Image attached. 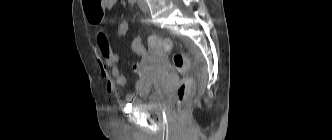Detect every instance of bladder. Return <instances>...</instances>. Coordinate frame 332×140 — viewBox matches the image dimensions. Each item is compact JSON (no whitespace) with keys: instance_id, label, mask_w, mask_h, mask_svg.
<instances>
[{"instance_id":"31cf9c89","label":"bladder","mask_w":332,"mask_h":140,"mask_svg":"<svg viewBox=\"0 0 332 140\" xmlns=\"http://www.w3.org/2000/svg\"><path fill=\"white\" fill-rule=\"evenodd\" d=\"M163 103V96L158 92H149L143 99H135L131 104L141 110L158 111Z\"/></svg>"}]
</instances>
